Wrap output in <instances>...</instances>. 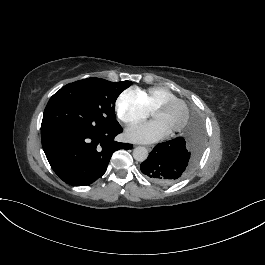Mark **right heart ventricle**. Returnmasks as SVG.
<instances>
[{
	"label": "right heart ventricle",
	"mask_w": 265,
	"mask_h": 265,
	"mask_svg": "<svg viewBox=\"0 0 265 265\" xmlns=\"http://www.w3.org/2000/svg\"><path fill=\"white\" fill-rule=\"evenodd\" d=\"M134 94L143 102L145 108L151 112L153 107L163 99L174 97V95L164 87H152L148 90H135Z\"/></svg>",
	"instance_id": "1"
}]
</instances>
